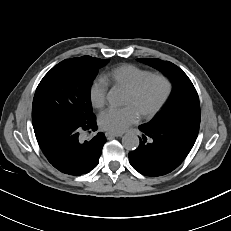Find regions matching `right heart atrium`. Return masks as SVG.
Wrapping results in <instances>:
<instances>
[{"label":"right heart atrium","mask_w":231,"mask_h":231,"mask_svg":"<svg viewBox=\"0 0 231 231\" xmlns=\"http://www.w3.org/2000/svg\"><path fill=\"white\" fill-rule=\"evenodd\" d=\"M108 84L105 79L98 78L90 86L89 98L92 106L101 109L107 102Z\"/></svg>","instance_id":"right-heart-atrium-1"}]
</instances>
